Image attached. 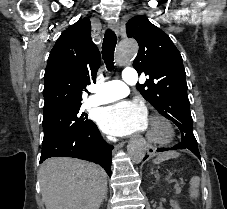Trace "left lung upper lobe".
Returning a JSON list of instances; mask_svg holds the SVG:
<instances>
[{
  "label": "left lung upper lobe",
  "instance_id": "5c2ea615",
  "mask_svg": "<svg viewBox=\"0 0 227 209\" xmlns=\"http://www.w3.org/2000/svg\"><path fill=\"white\" fill-rule=\"evenodd\" d=\"M126 31L139 44L133 67L139 75L145 72L149 76L144 84L136 85L137 90L162 116L179 127L181 145L198 150L180 52L170 37L145 16L131 18Z\"/></svg>",
  "mask_w": 227,
  "mask_h": 209
}]
</instances>
